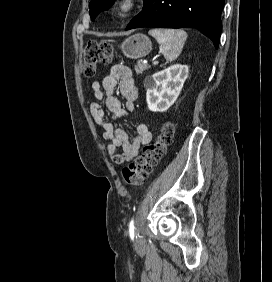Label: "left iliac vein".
<instances>
[{"instance_id":"obj_1","label":"left iliac vein","mask_w":272,"mask_h":282,"mask_svg":"<svg viewBox=\"0 0 272 282\" xmlns=\"http://www.w3.org/2000/svg\"><path fill=\"white\" fill-rule=\"evenodd\" d=\"M136 245H141V239L139 237H136Z\"/></svg>"}]
</instances>
